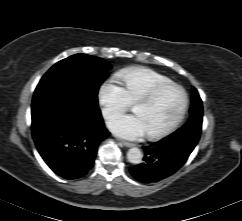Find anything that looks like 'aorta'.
<instances>
[{"instance_id": "obj_1", "label": "aorta", "mask_w": 242, "mask_h": 221, "mask_svg": "<svg viewBox=\"0 0 242 221\" xmlns=\"http://www.w3.org/2000/svg\"><path fill=\"white\" fill-rule=\"evenodd\" d=\"M143 154L139 148H131L127 152V160L132 164H140L142 161Z\"/></svg>"}]
</instances>
